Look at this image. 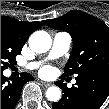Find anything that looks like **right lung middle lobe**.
Masks as SVG:
<instances>
[{
    "label": "right lung middle lobe",
    "instance_id": "dd1d6c3e",
    "mask_svg": "<svg viewBox=\"0 0 109 109\" xmlns=\"http://www.w3.org/2000/svg\"><path fill=\"white\" fill-rule=\"evenodd\" d=\"M22 47L23 45L1 35V71L15 61V57L21 53Z\"/></svg>",
    "mask_w": 109,
    "mask_h": 109
}]
</instances>
